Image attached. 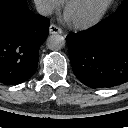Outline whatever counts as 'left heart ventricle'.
Instances as JSON below:
<instances>
[{
    "label": "left heart ventricle",
    "instance_id": "b2bd125f",
    "mask_svg": "<svg viewBox=\"0 0 128 128\" xmlns=\"http://www.w3.org/2000/svg\"><path fill=\"white\" fill-rule=\"evenodd\" d=\"M107 0H79L69 11L68 17L73 21L90 18L96 14Z\"/></svg>",
    "mask_w": 128,
    "mask_h": 128
}]
</instances>
